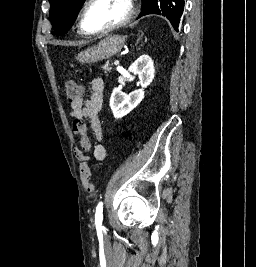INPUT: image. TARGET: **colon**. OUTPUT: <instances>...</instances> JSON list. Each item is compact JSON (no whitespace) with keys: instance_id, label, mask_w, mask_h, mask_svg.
I'll return each instance as SVG.
<instances>
[{"instance_id":"obj_1","label":"colon","mask_w":256,"mask_h":267,"mask_svg":"<svg viewBox=\"0 0 256 267\" xmlns=\"http://www.w3.org/2000/svg\"><path fill=\"white\" fill-rule=\"evenodd\" d=\"M67 87V98L69 101H75L80 98L82 89L81 86L73 79L69 78L66 82ZM72 129L75 133L85 135L86 127L85 124L80 119H74L72 123ZM83 147H88V142H83ZM81 177L84 188L88 192H93L95 190L92 182L91 167L87 163H82L81 165Z\"/></svg>"}]
</instances>
